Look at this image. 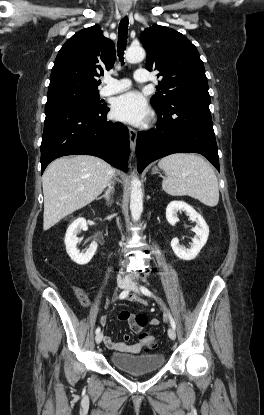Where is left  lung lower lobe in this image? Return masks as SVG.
Listing matches in <instances>:
<instances>
[{
	"label": "left lung lower lobe",
	"mask_w": 264,
	"mask_h": 415,
	"mask_svg": "<svg viewBox=\"0 0 264 415\" xmlns=\"http://www.w3.org/2000/svg\"><path fill=\"white\" fill-rule=\"evenodd\" d=\"M209 104L210 97L185 96L154 107L159 119L156 129L137 135L139 173L152 161L179 152L200 153L219 171Z\"/></svg>",
	"instance_id": "left-lung-lower-lobe-1"
}]
</instances>
